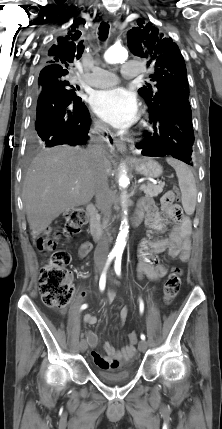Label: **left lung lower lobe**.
<instances>
[{"instance_id":"1","label":"left lung lower lobe","mask_w":222,"mask_h":429,"mask_svg":"<svg viewBox=\"0 0 222 429\" xmlns=\"http://www.w3.org/2000/svg\"><path fill=\"white\" fill-rule=\"evenodd\" d=\"M149 122L153 130H145L144 140L136 145L142 155L173 157L192 166L194 131L189 99L167 97L157 110L149 109Z\"/></svg>"}]
</instances>
